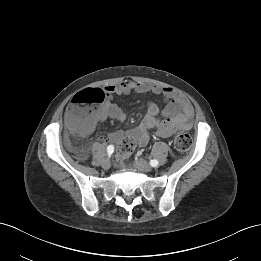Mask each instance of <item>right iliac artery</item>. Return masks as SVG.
Instances as JSON below:
<instances>
[{
	"label": "right iliac artery",
	"instance_id": "1",
	"mask_svg": "<svg viewBox=\"0 0 261 261\" xmlns=\"http://www.w3.org/2000/svg\"><path fill=\"white\" fill-rule=\"evenodd\" d=\"M113 151H114V146H113V145H109V146L107 147V153H108L109 155H111V154L113 153Z\"/></svg>",
	"mask_w": 261,
	"mask_h": 261
}]
</instances>
